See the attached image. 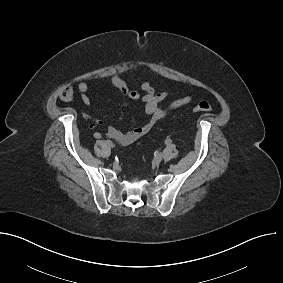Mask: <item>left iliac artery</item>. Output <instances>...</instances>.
<instances>
[{
    "label": "left iliac artery",
    "mask_w": 283,
    "mask_h": 283,
    "mask_svg": "<svg viewBox=\"0 0 283 283\" xmlns=\"http://www.w3.org/2000/svg\"><path fill=\"white\" fill-rule=\"evenodd\" d=\"M171 142H172L171 139H166V140H165V143H166L167 145L171 144Z\"/></svg>",
    "instance_id": "44dca946"
}]
</instances>
